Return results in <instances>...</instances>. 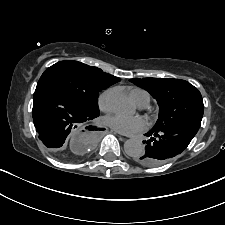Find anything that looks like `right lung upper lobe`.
Returning a JSON list of instances; mask_svg holds the SVG:
<instances>
[{
	"mask_svg": "<svg viewBox=\"0 0 225 225\" xmlns=\"http://www.w3.org/2000/svg\"><path fill=\"white\" fill-rule=\"evenodd\" d=\"M93 71L102 79L106 80L107 82L114 84L120 81L118 77H115L113 75H110L108 73L103 72L101 69L92 67Z\"/></svg>",
	"mask_w": 225,
	"mask_h": 225,
	"instance_id": "right-lung-upper-lobe-1",
	"label": "right lung upper lobe"
}]
</instances>
